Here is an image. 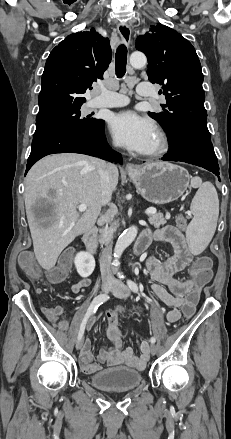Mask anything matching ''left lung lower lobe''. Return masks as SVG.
<instances>
[{
  "label": "left lung lower lobe",
  "instance_id": "left-lung-lower-lobe-1",
  "mask_svg": "<svg viewBox=\"0 0 231 439\" xmlns=\"http://www.w3.org/2000/svg\"><path fill=\"white\" fill-rule=\"evenodd\" d=\"M169 145L170 149L162 160L190 163L219 176L218 161L211 140L197 136H182L169 142Z\"/></svg>",
  "mask_w": 231,
  "mask_h": 439
}]
</instances>
